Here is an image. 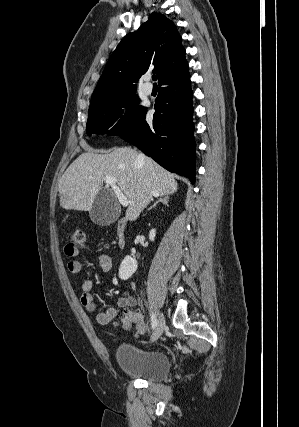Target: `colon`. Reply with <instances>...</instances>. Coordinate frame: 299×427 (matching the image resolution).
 I'll return each mask as SVG.
<instances>
[{"mask_svg": "<svg viewBox=\"0 0 299 427\" xmlns=\"http://www.w3.org/2000/svg\"><path fill=\"white\" fill-rule=\"evenodd\" d=\"M87 235L86 231L82 228L72 231L68 238V243L65 247V253L69 256L77 255L82 249L86 247ZM141 318L133 312H125L121 316V326L125 330H129L134 324H140Z\"/></svg>", "mask_w": 299, "mask_h": 427, "instance_id": "5ec220e1", "label": "colon"}]
</instances>
